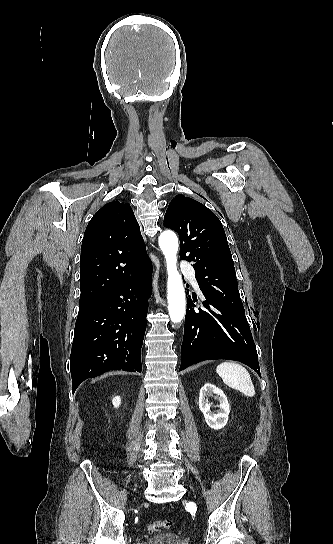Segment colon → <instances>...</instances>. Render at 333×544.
<instances>
[{
    "mask_svg": "<svg viewBox=\"0 0 333 544\" xmlns=\"http://www.w3.org/2000/svg\"><path fill=\"white\" fill-rule=\"evenodd\" d=\"M171 526V522L169 520H160V521H154L149 523L146 526V529L149 533H157L161 529H168Z\"/></svg>",
    "mask_w": 333,
    "mask_h": 544,
    "instance_id": "5ec220e1",
    "label": "colon"
}]
</instances>
